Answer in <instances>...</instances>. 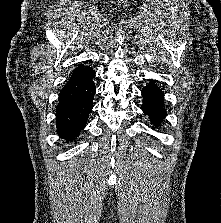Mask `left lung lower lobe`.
Instances as JSON below:
<instances>
[{"label":"left lung lower lobe","mask_w":221,"mask_h":223,"mask_svg":"<svg viewBox=\"0 0 221 223\" xmlns=\"http://www.w3.org/2000/svg\"><path fill=\"white\" fill-rule=\"evenodd\" d=\"M143 112L149 116L155 127L160 125V122L166 116V109L164 108V95L160 88L154 81L150 83L142 91Z\"/></svg>","instance_id":"1"}]
</instances>
